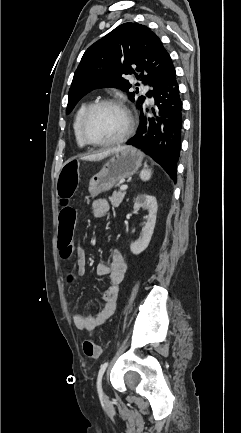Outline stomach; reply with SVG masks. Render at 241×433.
<instances>
[{"mask_svg":"<svg viewBox=\"0 0 241 433\" xmlns=\"http://www.w3.org/2000/svg\"><path fill=\"white\" fill-rule=\"evenodd\" d=\"M142 158V153L134 147H126L116 152L90 179V196L95 198L100 193L110 190L120 180L131 177L141 166Z\"/></svg>","mask_w":241,"mask_h":433,"instance_id":"obj_1","label":"stomach"}]
</instances>
